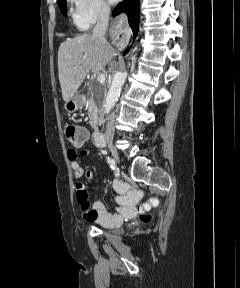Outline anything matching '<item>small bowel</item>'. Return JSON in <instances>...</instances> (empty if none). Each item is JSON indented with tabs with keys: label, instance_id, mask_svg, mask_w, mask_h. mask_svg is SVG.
<instances>
[{
	"label": "small bowel",
	"instance_id": "obj_1",
	"mask_svg": "<svg viewBox=\"0 0 240 288\" xmlns=\"http://www.w3.org/2000/svg\"><path fill=\"white\" fill-rule=\"evenodd\" d=\"M85 135L87 139V130H85ZM84 142L74 145V148L69 149L67 151V156L72 166L74 179H80L83 176H86L89 180H92V171L84 170L77 162L76 149H80ZM90 152L91 151L87 149L81 150L82 155H88ZM113 188L117 193L116 200L118 203L117 213L115 214L108 212L104 204L100 201H95L93 204H91L85 185L82 183L76 184V200L79 211L84 220L88 222H96L105 228H113L120 226L125 219L131 218L135 215L140 198L139 193L131 190L125 183H122L119 180L114 181Z\"/></svg>",
	"mask_w": 240,
	"mask_h": 288
}]
</instances>
